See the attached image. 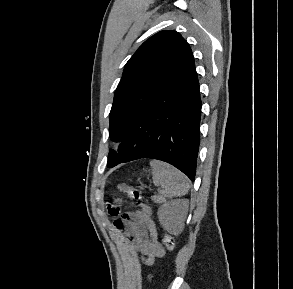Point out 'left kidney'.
Segmentation results:
<instances>
[{"label":"left kidney","instance_id":"5707ae66","mask_svg":"<svg viewBox=\"0 0 293 289\" xmlns=\"http://www.w3.org/2000/svg\"><path fill=\"white\" fill-rule=\"evenodd\" d=\"M188 201L184 199L165 202L158 210L160 224L171 234H178L184 225Z\"/></svg>","mask_w":293,"mask_h":289}]
</instances>
